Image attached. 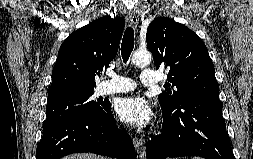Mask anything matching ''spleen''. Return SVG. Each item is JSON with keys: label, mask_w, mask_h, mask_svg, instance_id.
I'll list each match as a JSON object with an SVG mask.
<instances>
[{"label": "spleen", "mask_w": 253, "mask_h": 159, "mask_svg": "<svg viewBox=\"0 0 253 159\" xmlns=\"http://www.w3.org/2000/svg\"><path fill=\"white\" fill-rule=\"evenodd\" d=\"M193 159H202V158H200V157H194Z\"/></svg>", "instance_id": "obj_1"}]
</instances>
